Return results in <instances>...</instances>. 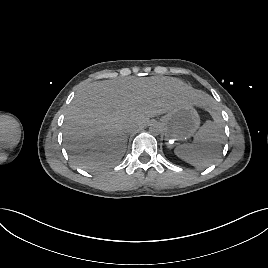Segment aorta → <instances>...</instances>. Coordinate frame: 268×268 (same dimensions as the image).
<instances>
[{"label":"aorta","mask_w":268,"mask_h":268,"mask_svg":"<svg viewBox=\"0 0 268 268\" xmlns=\"http://www.w3.org/2000/svg\"><path fill=\"white\" fill-rule=\"evenodd\" d=\"M162 130H163L162 125L158 122H153L149 126V132L154 135L160 134Z\"/></svg>","instance_id":"aorta-1"}]
</instances>
